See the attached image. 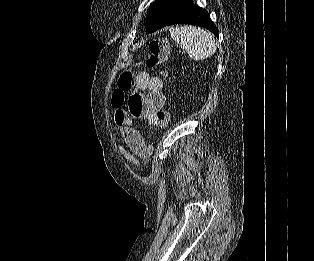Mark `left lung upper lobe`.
Segmentation results:
<instances>
[{"mask_svg": "<svg viewBox=\"0 0 314 261\" xmlns=\"http://www.w3.org/2000/svg\"><path fill=\"white\" fill-rule=\"evenodd\" d=\"M184 0H156L147 10L145 26L147 33L163 28L176 14Z\"/></svg>", "mask_w": 314, "mask_h": 261, "instance_id": "5c2ea615", "label": "left lung upper lobe"}]
</instances>
